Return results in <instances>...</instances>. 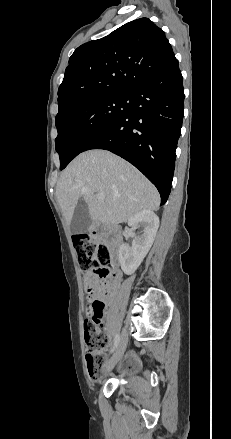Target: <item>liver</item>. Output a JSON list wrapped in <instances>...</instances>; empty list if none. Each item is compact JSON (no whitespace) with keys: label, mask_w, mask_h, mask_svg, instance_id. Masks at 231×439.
<instances>
[{"label":"liver","mask_w":231,"mask_h":439,"mask_svg":"<svg viewBox=\"0 0 231 439\" xmlns=\"http://www.w3.org/2000/svg\"><path fill=\"white\" fill-rule=\"evenodd\" d=\"M104 194L97 199L95 194ZM56 196L68 225L79 199L92 220L116 225L143 210H158L160 195L153 184L124 159L106 150L79 154L62 172Z\"/></svg>","instance_id":"obj_1"}]
</instances>
